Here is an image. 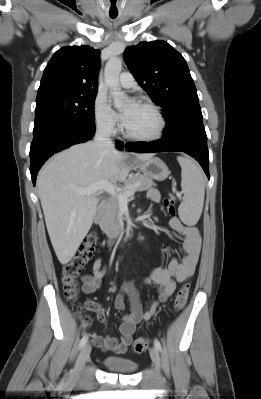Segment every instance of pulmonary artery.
I'll return each mask as SVG.
<instances>
[{
  "mask_svg": "<svg viewBox=\"0 0 261 399\" xmlns=\"http://www.w3.org/2000/svg\"><path fill=\"white\" fill-rule=\"evenodd\" d=\"M119 84L121 87L129 89L135 86L136 82L133 75L129 72H123L119 77Z\"/></svg>",
  "mask_w": 261,
  "mask_h": 399,
  "instance_id": "pulmonary-artery-1",
  "label": "pulmonary artery"
}]
</instances>
